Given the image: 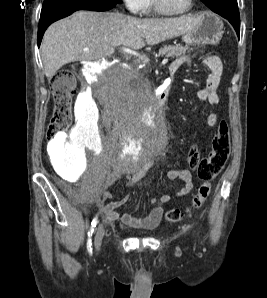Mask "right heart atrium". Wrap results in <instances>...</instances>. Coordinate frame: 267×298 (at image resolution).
Here are the masks:
<instances>
[{"mask_svg": "<svg viewBox=\"0 0 267 298\" xmlns=\"http://www.w3.org/2000/svg\"><path fill=\"white\" fill-rule=\"evenodd\" d=\"M127 9L133 14H139L145 10L147 0H123Z\"/></svg>", "mask_w": 267, "mask_h": 298, "instance_id": "d8ad5b80", "label": "right heart atrium"}]
</instances>
